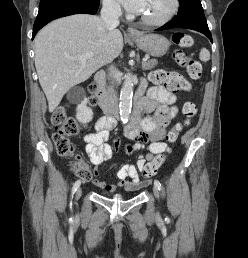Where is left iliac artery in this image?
<instances>
[{
	"mask_svg": "<svg viewBox=\"0 0 248 258\" xmlns=\"http://www.w3.org/2000/svg\"><path fill=\"white\" fill-rule=\"evenodd\" d=\"M154 185H155L159 190L162 189V185H161V183H160L158 180H155V181H154Z\"/></svg>",
	"mask_w": 248,
	"mask_h": 258,
	"instance_id": "1",
	"label": "left iliac artery"
}]
</instances>
